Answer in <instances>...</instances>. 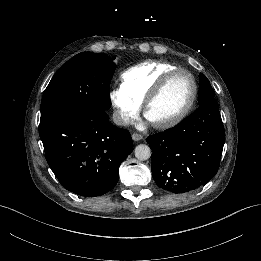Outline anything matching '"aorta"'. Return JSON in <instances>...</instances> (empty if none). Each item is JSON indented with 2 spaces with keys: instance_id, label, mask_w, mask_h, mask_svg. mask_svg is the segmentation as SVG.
Instances as JSON below:
<instances>
[{
  "instance_id": "1",
  "label": "aorta",
  "mask_w": 261,
  "mask_h": 261,
  "mask_svg": "<svg viewBox=\"0 0 261 261\" xmlns=\"http://www.w3.org/2000/svg\"><path fill=\"white\" fill-rule=\"evenodd\" d=\"M135 157L140 161L148 160L151 157V150L147 145L141 144L135 148Z\"/></svg>"
}]
</instances>
